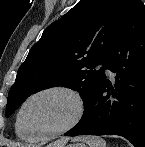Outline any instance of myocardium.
I'll list each match as a JSON object with an SVG mask.
<instances>
[{"instance_id":"obj_1","label":"myocardium","mask_w":145,"mask_h":147,"mask_svg":"<svg viewBox=\"0 0 145 147\" xmlns=\"http://www.w3.org/2000/svg\"><path fill=\"white\" fill-rule=\"evenodd\" d=\"M50 93H61V94H65L69 96L75 103V106H76L75 114L66 125H64L63 127L59 129L46 132V133L35 134V135L26 134V136L32 141L48 139V138L65 134L68 131L72 130L75 126H77L84 116L85 102L81 94L72 87L65 86V85H54V86L45 87L38 91L33 92L22 102L16 115V129L21 131V128H22L21 119H22V114L26 106L35 98L45 94H50Z\"/></svg>"}]
</instances>
